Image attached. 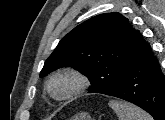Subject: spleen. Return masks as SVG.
<instances>
[{"mask_svg": "<svg viewBox=\"0 0 165 120\" xmlns=\"http://www.w3.org/2000/svg\"><path fill=\"white\" fill-rule=\"evenodd\" d=\"M108 105L116 113L118 120H153L147 112L131 103L110 100Z\"/></svg>", "mask_w": 165, "mask_h": 120, "instance_id": "spleen-1", "label": "spleen"}]
</instances>
